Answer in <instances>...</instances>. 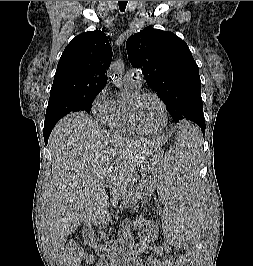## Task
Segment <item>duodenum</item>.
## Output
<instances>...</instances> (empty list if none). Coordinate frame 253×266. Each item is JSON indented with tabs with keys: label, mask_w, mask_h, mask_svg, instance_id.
<instances>
[{
	"label": "duodenum",
	"mask_w": 253,
	"mask_h": 266,
	"mask_svg": "<svg viewBox=\"0 0 253 266\" xmlns=\"http://www.w3.org/2000/svg\"><path fill=\"white\" fill-rule=\"evenodd\" d=\"M107 264L113 266V265H112L113 263H112L111 261H109V260H107Z\"/></svg>",
	"instance_id": "obj_1"
}]
</instances>
